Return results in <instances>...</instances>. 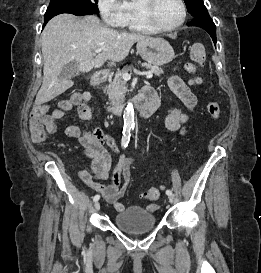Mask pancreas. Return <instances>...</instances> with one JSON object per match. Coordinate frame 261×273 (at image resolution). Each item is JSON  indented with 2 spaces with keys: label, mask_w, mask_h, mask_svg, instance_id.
<instances>
[{
  "label": "pancreas",
  "mask_w": 261,
  "mask_h": 273,
  "mask_svg": "<svg viewBox=\"0 0 261 273\" xmlns=\"http://www.w3.org/2000/svg\"><path fill=\"white\" fill-rule=\"evenodd\" d=\"M143 67L152 72L156 76H160L163 73V69L147 63L141 64ZM132 70V66H125L122 70L115 73L114 79L109 80V85L105 87V92H107L109 101L112 105L118 104L123 101L125 93L127 91L126 85L123 81L122 74L128 73Z\"/></svg>",
  "instance_id": "cf45deb5"
}]
</instances>
